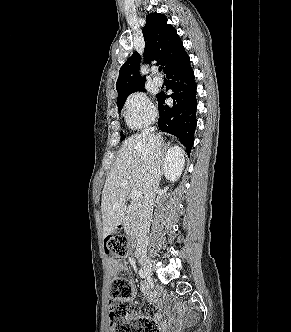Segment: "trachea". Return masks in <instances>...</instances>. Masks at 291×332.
Here are the masks:
<instances>
[{
  "label": "trachea",
  "mask_w": 291,
  "mask_h": 332,
  "mask_svg": "<svg viewBox=\"0 0 291 332\" xmlns=\"http://www.w3.org/2000/svg\"><path fill=\"white\" fill-rule=\"evenodd\" d=\"M159 70L161 71V70H162V67H159Z\"/></svg>",
  "instance_id": "obj_1"
}]
</instances>
